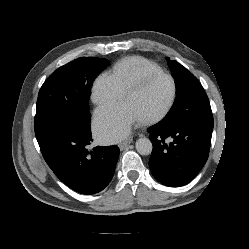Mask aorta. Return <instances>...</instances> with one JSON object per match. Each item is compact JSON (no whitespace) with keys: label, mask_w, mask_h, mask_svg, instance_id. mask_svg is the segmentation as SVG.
I'll use <instances>...</instances> for the list:
<instances>
[{"label":"aorta","mask_w":249,"mask_h":249,"mask_svg":"<svg viewBox=\"0 0 249 249\" xmlns=\"http://www.w3.org/2000/svg\"><path fill=\"white\" fill-rule=\"evenodd\" d=\"M136 150L141 155H149L152 152V142L146 138L142 137L136 141Z\"/></svg>","instance_id":"762f6f07"}]
</instances>
